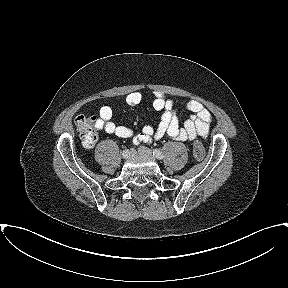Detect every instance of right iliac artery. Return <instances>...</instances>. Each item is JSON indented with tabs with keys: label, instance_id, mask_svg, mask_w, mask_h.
<instances>
[{
	"label": "right iliac artery",
	"instance_id": "obj_1",
	"mask_svg": "<svg viewBox=\"0 0 288 288\" xmlns=\"http://www.w3.org/2000/svg\"><path fill=\"white\" fill-rule=\"evenodd\" d=\"M121 156H122V158H123L125 161H128V160L130 159L129 150H128V149H123V150H122V153H121Z\"/></svg>",
	"mask_w": 288,
	"mask_h": 288
}]
</instances>
